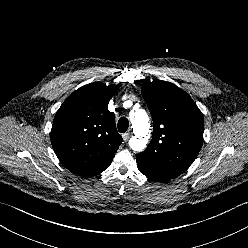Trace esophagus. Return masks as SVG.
Instances as JSON below:
<instances>
[{"label":"esophagus","mask_w":248,"mask_h":248,"mask_svg":"<svg viewBox=\"0 0 248 248\" xmlns=\"http://www.w3.org/2000/svg\"><path fill=\"white\" fill-rule=\"evenodd\" d=\"M122 138L124 141H127L130 138V133L127 132V133L122 134Z\"/></svg>","instance_id":"34e87169"}]
</instances>
